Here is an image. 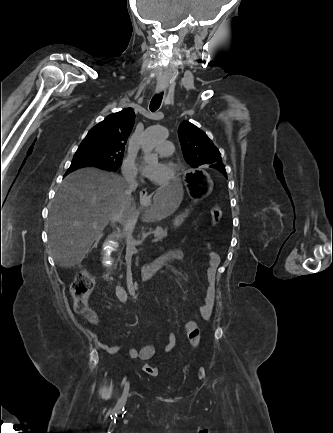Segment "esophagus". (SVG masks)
<instances>
[{"label": "esophagus", "mask_w": 333, "mask_h": 433, "mask_svg": "<svg viewBox=\"0 0 333 433\" xmlns=\"http://www.w3.org/2000/svg\"><path fill=\"white\" fill-rule=\"evenodd\" d=\"M156 92H157L158 94H160V93L163 92V89H162V88H157ZM139 197H140V200H141V201H147V200L149 199V198H148V192H147V190H146L145 188H142V189H141V191H140V193H139Z\"/></svg>", "instance_id": "obj_1"}]
</instances>
